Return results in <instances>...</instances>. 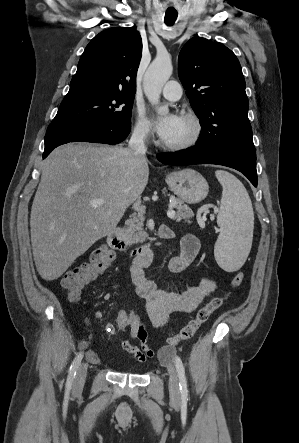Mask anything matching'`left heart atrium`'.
<instances>
[{"label": "left heart atrium", "mask_w": 299, "mask_h": 443, "mask_svg": "<svg viewBox=\"0 0 299 443\" xmlns=\"http://www.w3.org/2000/svg\"><path fill=\"white\" fill-rule=\"evenodd\" d=\"M180 117L174 113H169L164 116H158L153 119V125L158 136L164 140L170 136L176 129Z\"/></svg>", "instance_id": "obj_1"}]
</instances>
